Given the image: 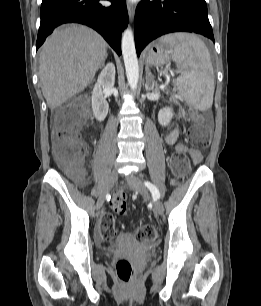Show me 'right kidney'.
<instances>
[{
  "label": "right kidney",
  "mask_w": 261,
  "mask_h": 306,
  "mask_svg": "<svg viewBox=\"0 0 261 306\" xmlns=\"http://www.w3.org/2000/svg\"><path fill=\"white\" fill-rule=\"evenodd\" d=\"M115 82V66L108 63L98 76L97 83L92 91V110L98 121H103L109 111V105L103 95L102 88H111Z\"/></svg>",
  "instance_id": "ca27d5eb"
}]
</instances>
